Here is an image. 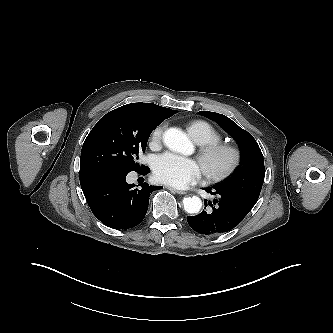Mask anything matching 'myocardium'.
Masks as SVG:
<instances>
[{"mask_svg": "<svg viewBox=\"0 0 333 333\" xmlns=\"http://www.w3.org/2000/svg\"><path fill=\"white\" fill-rule=\"evenodd\" d=\"M221 155H226L228 160L223 167L214 169L212 162ZM198 160L203 174L209 181L221 182L231 177L238 170L243 160V153L237 145L219 142L201 146Z\"/></svg>", "mask_w": 333, "mask_h": 333, "instance_id": "1", "label": "myocardium"}]
</instances>
